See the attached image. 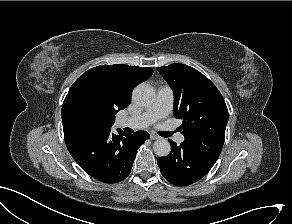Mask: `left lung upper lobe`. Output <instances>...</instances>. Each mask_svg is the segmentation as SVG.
Wrapping results in <instances>:
<instances>
[{
	"instance_id": "left-lung-upper-lobe-1",
	"label": "left lung upper lobe",
	"mask_w": 292,
	"mask_h": 224,
	"mask_svg": "<svg viewBox=\"0 0 292 224\" xmlns=\"http://www.w3.org/2000/svg\"><path fill=\"white\" fill-rule=\"evenodd\" d=\"M174 92L173 114L184 144L218 159L225 138L228 110L216 86L196 69L174 63L157 67Z\"/></svg>"
}]
</instances>
